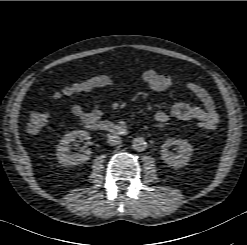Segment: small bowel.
<instances>
[{
    "mask_svg": "<svg viewBox=\"0 0 247 245\" xmlns=\"http://www.w3.org/2000/svg\"><path fill=\"white\" fill-rule=\"evenodd\" d=\"M140 77L152 92H163L173 85V78L169 74L158 72L153 68L142 71ZM113 85L114 81L112 80L108 87ZM184 86L199 100L201 106L186 102H176L168 110L157 111L154 115L155 120L164 123L174 118L180 121L196 120L217 125L219 115L209 92L199 84L191 81L184 82ZM71 111L85 125L97 121L102 115L99 101L96 98L91 100L89 108L81 104H75L72 106Z\"/></svg>",
    "mask_w": 247,
    "mask_h": 245,
    "instance_id": "obj_1",
    "label": "small bowel"
}]
</instances>
